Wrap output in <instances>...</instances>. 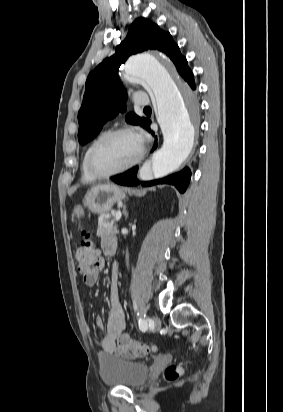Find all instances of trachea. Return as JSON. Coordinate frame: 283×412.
<instances>
[{"mask_svg":"<svg viewBox=\"0 0 283 412\" xmlns=\"http://www.w3.org/2000/svg\"><path fill=\"white\" fill-rule=\"evenodd\" d=\"M145 111L151 110V108L149 106L144 108Z\"/></svg>","mask_w":283,"mask_h":412,"instance_id":"3493384b","label":"trachea"}]
</instances>
